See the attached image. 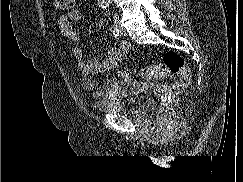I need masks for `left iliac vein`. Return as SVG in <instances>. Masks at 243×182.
<instances>
[{
	"mask_svg": "<svg viewBox=\"0 0 243 182\" xmlns=\"http://www.w3.org/2000/svg\"><path fill=\"white\" fill-rule=\"evenodd\" d=\"M119 29H120L121 35H125V30L122 27H120Z\"/></svg>",
	"mask_w": 243,
	"mask_h": 182,
	"instance_id": "obj_1",
	"label": "left iliac vein"
}]
</instances>
